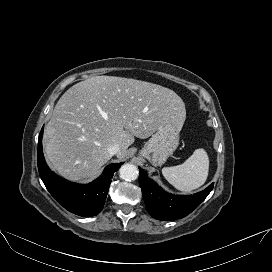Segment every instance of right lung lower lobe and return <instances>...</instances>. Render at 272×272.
I'll return each instance as SVG.
<instances>
[{
  "label": "right lung lower lobe",
  "instance_id": "1",
  "mask_svg": "<svg viewBox=\"0 0 272 272\" xmlns=\"http://www.w3.org/2000/svg\"><path fill=\"white\" fill-rule=\"evenodd\" d=\"M43 129L39 134L37 161L40 177L47 190L68 211L82 217L97 215L105 204L111 179L121 163L107 166L102 175L89 184L67 181L53 173L44 160L41 141Z\"/></svg>",
  "mask_w": 272,
  "mask_h": 272
}]
</instances>
